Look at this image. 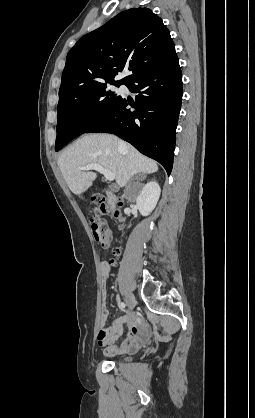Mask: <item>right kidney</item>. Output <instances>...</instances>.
<instances>
[{
  "label": "right kidney",
  "instance_id": "1",
  "mask_svg": "<svg viewBox=\"0 0 255 418\" xmlns=\"http://www.w3.org/2000/svg\"><path fill=\"white\" fill-rule=\"evenodd\" d=\"M160 193V186L155 181L147 183L142 188L136 200L137 208L141 215L148 216L154 210L159 200Z\"/></svg>",
  "mask_w": 255,
  "mask_h": 418
}]
</instances>
